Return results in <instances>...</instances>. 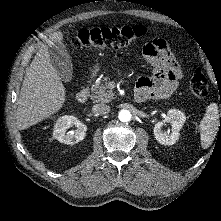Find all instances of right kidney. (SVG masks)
I'll return each mask as SVG.
<instances>
[{
    "label": "right kidney",
    "mask_w": 221,
    "mask_h": 221,
    "mask_svg": "<svg viewBox=\"0 0 221 221\" xmlns=\"http://www.w3.org/2000/svg\"><path fill=\"white\" fill-rule=\"evenodd\" d=\"M71 126L76 130L66 132ZM87 131V126L74 116H63L54 125L53 137L64 144H75L83 140Z\"/></svg>",
    "instance_id": "1"
}]
</instances>
